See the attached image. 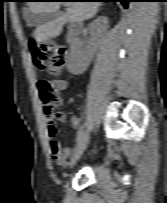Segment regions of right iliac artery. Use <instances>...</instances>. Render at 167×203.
<instances>
[{"label":"right iliac artery","mask_w":167,"mask_h":203,"mask_svg":"<svg viewBox=\"0 0 167 203\" xmlns=\"http://www.w3.org/2000/svg\"><path fill=\"white\" fill-rule=\"evenodd\" d=\"M83 135H84V129H83V127H81L77 134L76 141L79 142L81 140V138L83 137Z\"/></svg>","instance_id":"1"}]
</instances>
